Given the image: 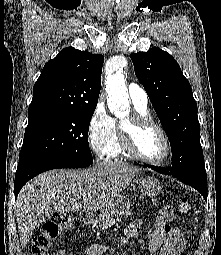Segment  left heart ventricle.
<instances>
[{
	"instance_id": "1",
	"label": "left heart ventricle",
	"mask_w": 221,
	"mask_h": 255,
	"mask_svg": "<svg viewBox=\"0 0 221 255\" xmlns=\"http://www.w3.org/2000/svg\"><path fill=\"white\" fill-rule=\"evenodd\" d=\"M137 146L141 154L149 159H160L165 153L163 138L153 127H147L138 132Z\"/></svg>"
}]
</instances>
